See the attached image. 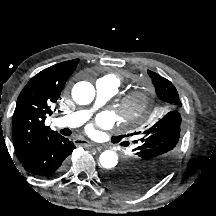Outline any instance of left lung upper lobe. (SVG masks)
I'll return each instance as SVG.
<instances>
[{"mask_svg":"<svg viewBox=\"0 0 216 216\" xmlns=\"http://www.w3.org/2000/svg\"><path fill=\"white\" fill-rule=\"evenodd\" d=\"M159 100L167 103L168 109L155 117L153 126L137 135L132 154L124 160V165L109 172L107 184L122 194L144 192L162 180L172 167L179 150L181 137L185 131V120L180 112L181 101L174 85L159 74L148 70ZM123 136L116 138L121 140Z\"/></svg>","mask_w":216,"mask_h":216,"instance_id":"5c2ea615","label":"left lung upper lobe"}]
</instances>
